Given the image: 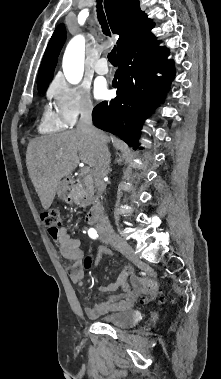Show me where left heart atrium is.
Instances as JSON below:
<instances>
[{
    "label": "left heart atrium",
    "instance_id": "left-heart-atrium-1",
    "mask_svg": "<svg viewBox=\"0 0 221 379\" xmlns=\"http://www.w3.org/2000/svg\"><path fill=\"white\" fill-rule=\"evenodd\" d=\"M107 88H106V85L102 82H98L96 85H95V96L98 98V99H103L107 96Z\"/></svg>",
    "mask_w": 221,
    "mask_h": 379
}]
</instances>
